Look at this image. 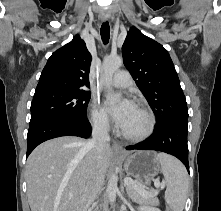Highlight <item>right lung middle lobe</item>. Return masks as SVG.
<instances>
[{
	"instance_id": "right-lung-middle-lobe-1",
	"label": "right lung middle lobe",
	"mask_w": 221,
	"mask_h": 211,
	"mask_svg": "<svg viewBox=\"0 0 221 211\" xmlns=\"http://www.w3.org/2000/svg\"><path fill=\"white\" fill-rule=\"evenodd\" d=\"M89 100L90 93L84 90L37 91L31 103L30 123L54 116L84 119Z\"/></svg>"
}]
</instances>
